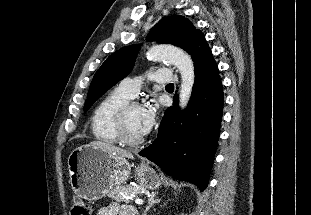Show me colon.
Returning a JSON list of instances; mask_svg holds the SVG:
<instances>
[{"label":"colon","instance_id":"5ec220e1","mask_svg":"<svg viewBox=\"0 0 311 215\" xmlns=\"http://www.w3.org/2000/svg\"><path fill=\"white\" fill-rule=\"evenodd\" d=\"M71 215H91L89 205L80 198H74L71 207Z\"/></svg>","mask_w":311,"mask_h":215}]
</instances>
